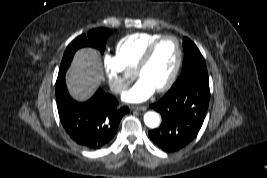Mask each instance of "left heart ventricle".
<instances>
[{
  "label": "left heart ventricle",
  "instance_id": "1",
  "mask_svg": "<svg viewBox=\"0 0 267 178\" xmlns=\"http://www.w3.org/2000/svg\"><path fill=\"white\" fill-rule=\"evenodd\" d=\"M177 60V47L173 39H165L156 48L147 66L140 72L139 78L145 79L155 90L169 78Z\"/></svg>",
  "mask_w": 267,
  "mask_h": 178
}]
</instances>
